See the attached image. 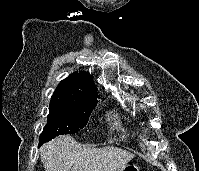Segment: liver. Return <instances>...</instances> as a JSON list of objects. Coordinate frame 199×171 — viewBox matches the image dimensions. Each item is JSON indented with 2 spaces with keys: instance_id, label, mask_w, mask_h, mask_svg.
<instances>
[{
  "instance_id": "1",
  "label": "liver",
  "mask_w": 199,
  "mask_h": 171,
  "mask_svg": "<svg viewBox=\"0 0 199 171\" xmlns=\"http://www.w3.org/2000/svg\"><path fill=\"white\" fill-rule=\"evenodd\" d=\"M134 157L117 147L90 148L60 136L40 149L45 171H120Z\"/></svg>"
}]
</instances>
